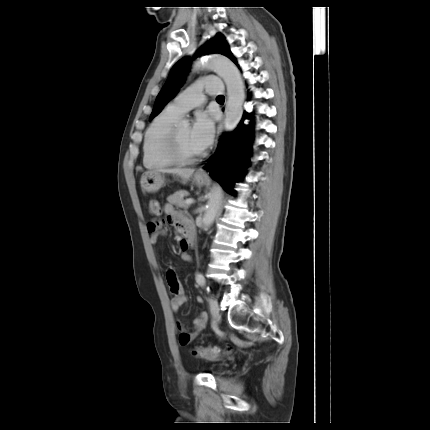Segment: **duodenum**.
<instances>
[{
	"label": "duodenum",
	"instance_id": "1",
	"mask_svg": "<svg viewBox=\"0 0 430 430\" xmlns=\"http://www.w3.org/2000/svg\"><path fill=\"white\" fill-rule=\"evenodd\" d=\"M193 242H194L193 234H188L184 239V243L186 247H191L193 245Z\"/></svg>",
	"mask_w": 430,
	"mask_h": 430
}]
</instances>
